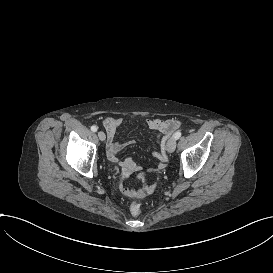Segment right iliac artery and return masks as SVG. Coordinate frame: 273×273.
<instances>
[{"label":"right iliac artery","mask_w":273,"mask_h":273,"mask_svg":"<svg viewBox=\"0 0 273 273\" xmlns=\"http://www.w3.org/2000/svg\"><path fill=\"white\" fill-rule=\"evenodd\" d=\"M97 129H98V128H97L96 126H92V127H91V130H92L93 132H96Z\"/></svg>","instance_id":"1"}]
</instances>
